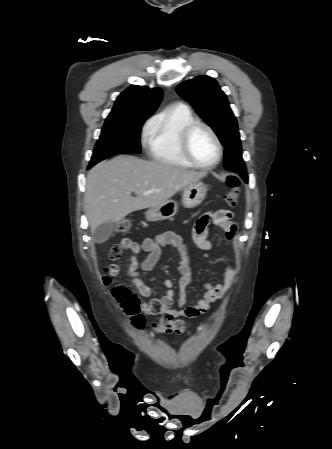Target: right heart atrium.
<instances>
[{"label": "right heart atrium", "instance_id": "1", "mask_svg": "<svg viewBox=\"0 0 332 449\" xmlns=\"http://www.w3.org/2000/svg\"><path fill=\"white\" fill-rule=\"evenodd\" d=\"M149 128H150V125L147 124V125L145 126L144 130H145V131H147V130L149 131Z\"/></svg>", "mask_w": 332, "mask_h": 449}]
</instances>
